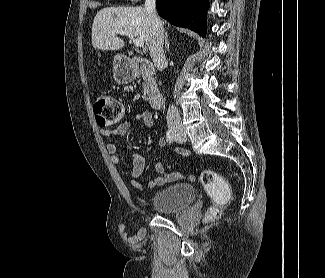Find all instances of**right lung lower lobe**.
<instances>
[{"mask_svg":"<svg viewBox=\"0 0 325 278\" xmlns=\"http://www.w3.org/2000/svg\"><path fill=\"white\" fill-rule=\"evenodd\" d=\"M158 14L175 26L206 36L209 0H156Z\"/></svg>","mask_w":325,"mask_h":278,"instance_id":"right-lung-lower-lobe-1","label":"right lung lower lobe"}]
</instances>
